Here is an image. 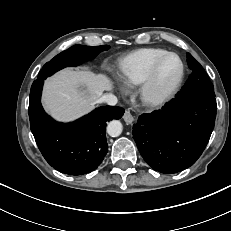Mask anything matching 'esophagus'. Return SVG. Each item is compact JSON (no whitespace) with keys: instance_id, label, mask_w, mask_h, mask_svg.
<instances>
[{"instance_id":"obj_1","label":"esophagus","mask_w":231,"mask_h":231,"mask_svg":"<svg viewBox=\"0 0 231 231\" xmlns=\"http://www.w3.org/2000/svg\"><path fill=\"white\" fill-rule=\"evenodd\" d=\"M123 119L128 124H130V123H132L134 121V117L132 116L130 111H125V113L123 115Z\"/></svg>"}]
</instances>
